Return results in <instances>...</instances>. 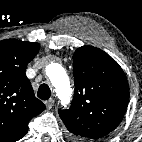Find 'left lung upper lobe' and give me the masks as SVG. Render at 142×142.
<instances>
[{
	"label": "left lung upper lobe",
	"mask_w": 142,
	"mask_h": 142,
	"mask_svg": "<svg viewBox=\"0 0 142 142\" xmlns=\"http://www.w3.org/2000/svg\"><path fill=\"white\" fill-rule=\"evenodd\" d=\"M75 92L69 109L59 115L78 141L101 140L119 125L129 101L127 78L107 53L82 46L73 55Z\"/></svg>",
	"instance_id": "left-lung-upper-lobe-1"
}]
</instances>
